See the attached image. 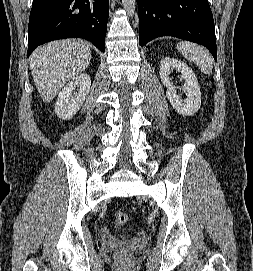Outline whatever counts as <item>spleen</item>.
<instances>
[{
	"label": "spleen",
	"instance_id": "1",
	"mask_svg": "<svg viewBox=\"0 0 253 271\" xmlns=\"http://www.w3.org/2000/svg\"><path fill=\"white\" fill-rule=\"evenodd\" d=\"M177 49L190 62H194L205 74L212 73V57L207 50L188 41L177 44Z\"/></svg>",
	"mask_w": 253,
	"mask_h": 271
}]
</instances>
